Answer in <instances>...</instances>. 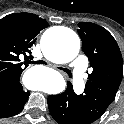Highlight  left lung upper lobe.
Here are the masks:
<instances>
[{
    "instance_id": "1",
    "label": "left lung upper lobe",
    "mask_w": 124,
    "mask_h": 124,
    "mask_svg": "<svg viewBox=\"0 0 124 124\" xmlns=\"http://www.w3.org/2000/svg\"><path fill=\"white\" fill-rule=\"evenodd\" d=\"M78 26L92 72L88 74L84 94L77 95V99L86 121L93 123L115 99L123 77V61L117 42L105 28L89 22Z\"/></svg>"
}]
</instances>
